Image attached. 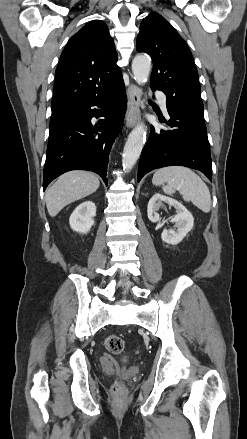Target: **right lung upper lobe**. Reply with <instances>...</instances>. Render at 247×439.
I'll return each mask as SVG.
<instances>
[{
	"label": "right lung upper lobe",
	"mask_w": 247,
	"mask_h": 439,
	"mask_svg": "<svg viewBox=\"0 0 247 439\" xmlns=\"http://www.w3.org/2000/svg\"><path fill=\"white\" fill-rule=\"evenodd\" d=\"M117 59L106 24L100 20L86 24L70 38L61 54L56 69L52 113H61L112 90L122 80Z\"/></svg>",
	"instance_id": "obj_1"
}]
</instances>
